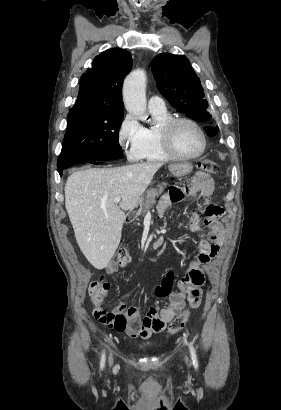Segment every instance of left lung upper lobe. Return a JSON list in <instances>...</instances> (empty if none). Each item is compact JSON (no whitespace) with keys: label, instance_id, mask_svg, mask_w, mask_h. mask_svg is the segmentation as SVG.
<instances>
[{"label":"left lung upper lobe","instance_id":"5c2ea615","mask_svg":"<svg viewBox=\"0 0 281 410\" xmlns=\"http://www.w3.org/2000/svg\"><path fill=\"white\" fill-rule=\"evenodd\" d=\"M152 72L160 93L178 112L196 121L211 118L200 79L185 56L159 54L152 61ZM207 129H212L210 136L217 134V127Z\"/></svg>","mask_w":281,"mask_h":410}]
</instances>
